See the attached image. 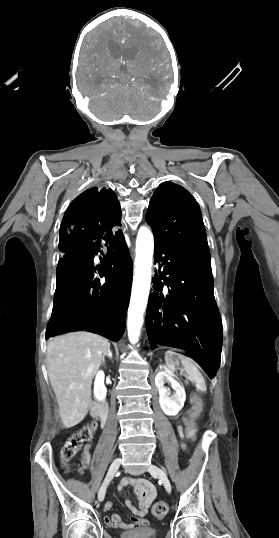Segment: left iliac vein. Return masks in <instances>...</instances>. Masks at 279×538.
Listing matches in <instances>:
<instances>
[{
  "mask_svg": "<svg viewBox=\"0 0 279 538\" xmlns=\"http://www.w3.org/2000/svg\"><path fill=\"white\" fill-rule=\"evenodd\" d=\"M148 471L151 475L157 476L162 481L166 491L171 493V484L164 470L152 464L150 465Z\"/></svg>",
  "mask_w": 279,
  "mask_h": 538,
  "instance_id": "4c4485c4",
  "label": "left iliac vein"
}]
</instances>
